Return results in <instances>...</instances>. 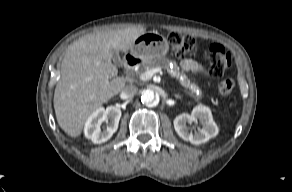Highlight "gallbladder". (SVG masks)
<instances>
[{
    "label": "gallbladder",
    "mask_w": 292,
    "mask_h": 192,
    "mask_svg": "<svg viewBox=\"0 0 292 192\" xmlns=\"http://www.w3.org/2000/svg\"><path fill=\"white\" fill-rule=\"evenodd\" d=\"M112 59L115 64H121L122 62L119 52L117 50H112Z\"/></svg>",
    "instance_id": "obj_1"
}]
</instances>
